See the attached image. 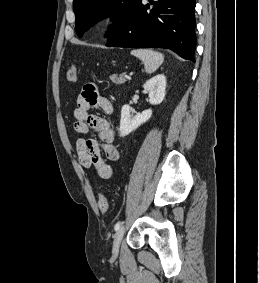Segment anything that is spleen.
<instances>
[{
    "label": "spleen",
    "instance_id": "1",
    "mask_svg": "<svg viewBox=\"0 0 259 283\" xmlns=\"http://www.w3.org/2000/svg\"><path fill=\"white\" fill-rule=\"evenodd\" d=\"M131 54L144 63L145 70L149 74L156 71L164 61L162 53L151 49H135L131 51Z\"/></svg>",
    "mask_w": 259,
    "mask_h": 283
}]
</instances>
